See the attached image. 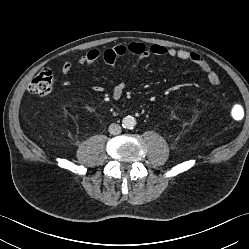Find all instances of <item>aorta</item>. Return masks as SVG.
Instances as JSON below:
<instances>
[{"mask_svg":"<svg viewBox=\"0 0 249 249\" xmlns=\"http://www.w3.org/2000/svg\"><path fill=\"white\" fill-rule=\"evenodd\" d=\"M136 125V119L132 116H126L122 120V126L126 129H132Z\"/></svg>","mask_w":249,"mask_h":249,"instance_id":"762f6f07","label":"aorta"}]
</instances>
